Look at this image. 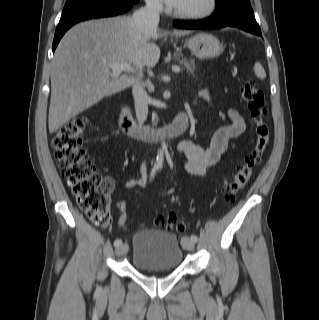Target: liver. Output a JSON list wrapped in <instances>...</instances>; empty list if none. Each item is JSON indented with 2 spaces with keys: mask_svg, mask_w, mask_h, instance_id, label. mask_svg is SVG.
I'll return each mask as SVG.
<instances>
[{
  "mask_svg": "<svg viewBox=\"0 0 319 320\" xmlns=\"http://www.w3.org/2000/svg\"><path fill=\"white\" fill-rule=\"evenodd\" d=\"M188 34L190 31L173 32L175 36ZM161 36L158 29H138L130 16L90 20L67 31L52 61L49 132L133 84L129 73L114 77L110 64L129 63L138 71L154 67L160 49L151 40Z\"/></svg>",
  "mask_w": 319,
  "mask_h": 320,
  "instance_id": "liver-1",
  "label": "liver"
}]
</instances>
